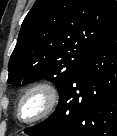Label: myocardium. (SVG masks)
Returning a JSON list of instances; mask_svg holds the SVG:
<instances>
[{
    "instance_id": "f54148a6",
    "label": "myocardium",
    "mask_w": 117,
    "mask_h": 136,
    "mask_svg": "<svg viewBox=\"0 0 117 136\" xmlns=\"http://www.w3.org/2000/svg\"><path fill=\"white\" fill-rule=\"evenodd\" d=\"M32 93H41L44 96V99H45L44 106L38 114L34 115L33 117L29 119H23L21 117V107L24 101L26 100V98ZM59 101H60V93L55 84L48 81H40V82L34 83L33 85L27 87L23 91V93L21 94L18 100L17 107H16L17 119L20 122L25 124H31V123L44 120L56 111L59 105Z\"/></svg>"
}]
</instances>
